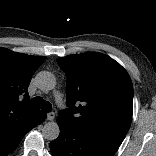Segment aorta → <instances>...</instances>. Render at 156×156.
<instances>
[{"mask_svg": "<svg viewBox=\"0 0 156 156\" xmlns=\"http://www.w3.org/2000/svg\"><path fill=\"white\" fill-rule=\"evenodd\" d=\"M36 81L38 88L44 92L54 89L56 85L55 76L48 71L39 72L36 76ZM59 134L60 129L56 122L51 121L44 124L42 135L45 139L53 141L58 138Z\"/></svg>", "mask_w": 156, "mask_h": 156, "instance_id": "aorta-1", "label": "aorta"}]
</instances>
